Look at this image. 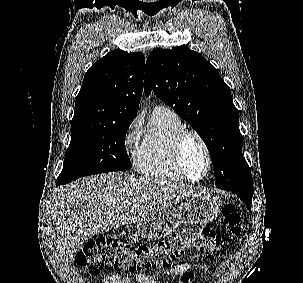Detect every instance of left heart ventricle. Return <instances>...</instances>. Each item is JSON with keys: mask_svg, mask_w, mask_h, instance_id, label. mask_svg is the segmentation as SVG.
<instances>
[{"mask_svg": "<svg viewBox=\"0 0 303 283\" xmlns=\"http://www.w3.org/2000/svg\"><path fill=\"white\" fill-rule=\"evenodd\" d=\"M183 163L190 177L197 179L203 176L207 168V158L197 139L190 137L183 148Z\"/></svg>", "mask_w": 303, "mask_h": 283, "instance_id": "obj_1", "label": "left heart ventricle"}]
</instances>
